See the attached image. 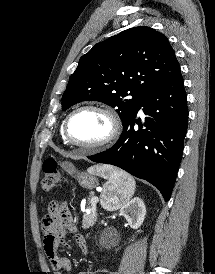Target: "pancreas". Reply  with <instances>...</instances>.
I'll list each match as a JSON object with an SVG mask.
<instances>
[{
	"label": "pancreas",
	"mask_w": 215,
	"mask_h": 274,
	"mask_svg": "<svg viewBox=\"0 0 215 274\" xmlns=\"http://www.w3.org/2000/svg\"><path fill=\"white\" fill-rule=\"evenodd\" d=\"M87 203L89 204L88 209L90 210V214H84V218H85V222L84 225L86 227L94 224L95 220H96V202L93 201V196H90V198H88Z\"/></svg>",
	"instance_id": "pancreas-1"
}]
</instances>
